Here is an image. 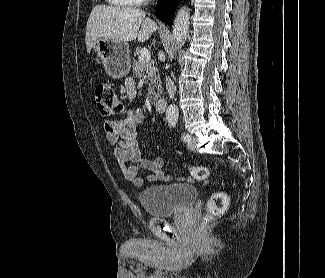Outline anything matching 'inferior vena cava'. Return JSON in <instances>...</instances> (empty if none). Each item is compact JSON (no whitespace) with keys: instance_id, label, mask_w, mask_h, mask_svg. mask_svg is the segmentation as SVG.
I'll use <instances>...</instances> for the list:
<instances>
[{"instance_id":"602c4592","label":"inferior vena cava","mask_w":325,"mask_h":278,"mask_svg":"<svg viewBox=\"0 0 325 278\" xmlns=\"http://www.w3.org/2000/svg\"><path fill=\"white\" fill-rule=\"evenodd\" d=\"M166 89H167L170 99H173L174 95H175L176 88H175L174 82L169 77H166Z\"/></svg>"}]
</instances>
